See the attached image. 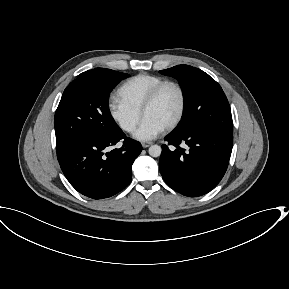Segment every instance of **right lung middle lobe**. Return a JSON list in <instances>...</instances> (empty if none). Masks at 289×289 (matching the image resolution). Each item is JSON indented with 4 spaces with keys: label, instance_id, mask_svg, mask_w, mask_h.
<instances>
[{
    "label": "right lung middle lobe",
    "instance_id": "right-lung-middle-lobe-1",
    "mask_svg": "<svg viewBox=\"0 0 289 289\" xmlns=\"http://www.w3.org/2000/svg\"><path fill=\"white\" fill-rule=\"evenodd\" d=\"M128 76L113 70L103 74L81 73L68 85L54 119L57 153L119 129L110 114L108 97L113 87Z\"/></svg>",
    "mask_w": 289,
    "mask_h": 289
}]
</instances>
